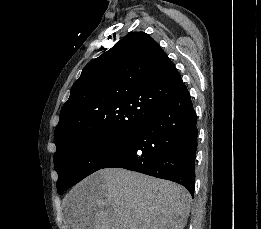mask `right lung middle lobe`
<instances>
[{
    "label": "right lung middle lobe",
    "mask_w": 261,
    "mask_h": 229,
    "mask_svg": "<svg viewBox=\"0 0 261 229\" xmlns=\"http://www.w3.org/2000/svg\"><path fill=\"white\" fill-rule=\"evenodd\" d=\"M134 137L90 134L64 142L54 154V166L59 175L57 192L63 194L66 189L103 168L126 150Z\"/></svg>",
    "instance_id": "1"
}]
</instances>
